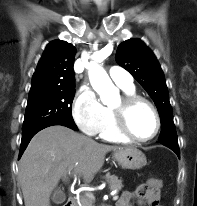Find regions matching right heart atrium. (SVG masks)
<instances>
[{"label": "right heart atrium", "mask_w": 197, "mask_h": 206, "mask_svg": "<svg viewBox=\"0 0 197 206\" xmlns=\"http://www.w3.org/2000/svg\"><path fill=\"white\" fill-rule=\"evenodd\" d=\"M106 108L89 86H82L77 91L72 103V116L87 135H96L103 123Z\"/></svg>", "instance_id": "d8ad5b80"}]
</instances>
